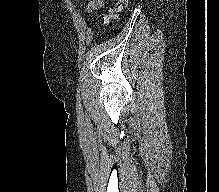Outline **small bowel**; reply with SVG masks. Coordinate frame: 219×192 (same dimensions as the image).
Here are the masks:
<instances>
[{"label":"small bowel","instance_id":"c3829d8e","mask_svg":"<svg viewBox=\"0 0 219 192\" xmlns=\"http://www.w3.org/2000/svg\"><path fill=\"white\" fill-rule=\"evenodd\" d=\"M103 5H104V0H91L87 4L86 9L88 12H91V11L101 8Z\"/></svg>","mask_w":219,"mask_h":192}]
</instances>
